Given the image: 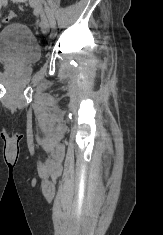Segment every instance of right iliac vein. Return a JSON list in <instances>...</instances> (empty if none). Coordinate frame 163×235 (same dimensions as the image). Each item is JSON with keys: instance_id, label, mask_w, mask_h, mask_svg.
<instances>
[{"instance_id": "obj_1", "label": "right iliac vein", "mask_w": 163, "mask_h": 235, "mask_svg": "<svg viewBox=\"0 0 163 235\" xmlns=\"http://www.w3.org/2000/svg\"><path fill=\"white\" fill-rule=\"evenodd\" d=\"M6 0H0V6L5 2Z\"/></svg>"}]
</instances>
